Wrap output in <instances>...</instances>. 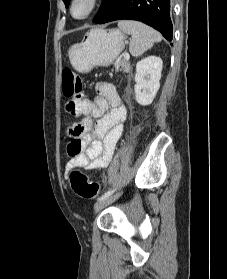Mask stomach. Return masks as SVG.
Listing matches in <instances>:
<instances>
[{
  "label": "stomach",
  "instance_id": "obj_1",
  "mask_svg": "<svg viewBox=\"0 0 227 279\" xmlns=\"http://www.w3.org/2000/svg\"><path fill=\"white\" fill-rule=\"evenodd\" d=\"M125 47V36L118 29H92L80 43L72 45L68 57L75 70L88 73L94 67L114 63Z\"/></svg>",
  "mask_w": 227,
  "mask_h": 279
}]
</instances>
